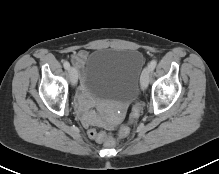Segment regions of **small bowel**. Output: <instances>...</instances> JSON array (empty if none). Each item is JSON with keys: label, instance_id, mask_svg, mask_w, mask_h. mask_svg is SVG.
<instances>
[{"label": "small bowel", "instance_id": "obj_1", "mask_svg": "<svg viewBox=\"0 0 219 174\" xmlns=\"http://www.w3.org/2000/svg\"><path fill=\"white\" fill-rule=\"evenodd\" d=\"M87 57H88L87 51L80 50L72 55V62L77 68H81L85 64ZM77 103L84 123L89 124L90 122L94 121L96 116L94 113L90 112L89 110L87 95L84 90H82L78 94Z\"/></svg>", "mask_w": 219, "mask_h": 174}]
</instances>
